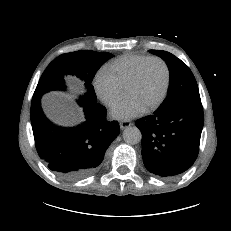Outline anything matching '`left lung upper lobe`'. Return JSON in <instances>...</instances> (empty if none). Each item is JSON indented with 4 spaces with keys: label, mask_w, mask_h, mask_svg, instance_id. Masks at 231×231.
<instances>
[{
    "label": "left lung upper lobe",
    "mask_w": 231,
    "mask_h": 231,
    "mask_svg": "<svg viewBox=\"0 0 231 231\" xmlns=\"http://www.w3.org/2000/svg\"><path fill=\"white\" fill-rule=\"evenodd\" d=\"M161 57L170 72L168 96L160 111H168L187 100H200V94L195 77L189 67L173 54L161 50H149Z\"/></svg>",
    "instance_id": "1"
}]
</instances>
